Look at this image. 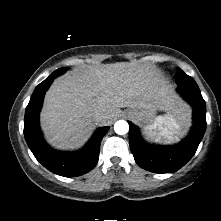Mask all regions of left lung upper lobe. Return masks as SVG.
<instances>
[{
    "instance_id": "1",
    "label": "left lung upper lobe",
    "mask_w": 221,
    "mask_h": 221,
    "mask_svg": "<svg viewBox=\"0 0 221 221\" xmlns=\"http://www.w3.org/2000/svg\"><path fill=\"white\" fill-rule=\"evenodd\" d=\"M175 81L178 86L198 87L194 79L185 74L180 68L177 69L175 74Z\"/></svg>"
}]
</instances>
